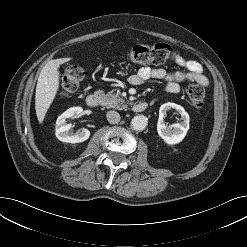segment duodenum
Wrapping results in <instances>:
<instances>
[{
	"instance_id": "410a0bca",
	"label": "duodenum",
	"mask_w": 247,
	"mask_h": 247,
	"mask_svg": "<svg viewBox=\"0 0 247 247\" xmlns=\"http://www.w3.org/2000/svg\"><path fill=\"white\" fill-rule=\"evenodd\" d=\"M85 103L88 107L94 108L97 107L100 103L99 96L96 94H90L86 97ZM148 104L146 102H137L133 106L135 112H143L147 109Z\"/></svg>"
}]
</instances>
